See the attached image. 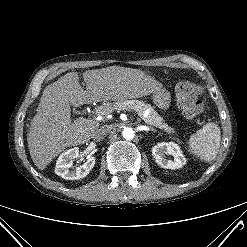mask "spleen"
Here are the masks:
<instances>
[{"instance_id":"1","label":"spleen","mask_w":247,"mask_h":247,"mask_svg":"<svg viewBox=\"0 0 247 247\" xmlns=\"http://www.w3.org/2000/svg\"><path fill=\"white\" fill-rule=\"evenodd\" d=\"M221 131L214 122H208L189 139V151L205 162L216 158L220 148Z\"/></svg>"}]
</instances>
